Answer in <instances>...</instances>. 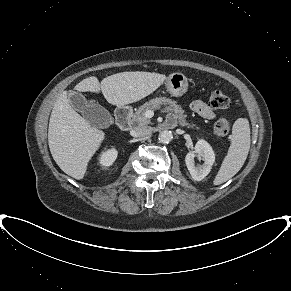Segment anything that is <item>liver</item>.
Returning <instances> with one entry per match:
<instances>
[{
    "instance_id": "liver-1",
    "label": "liver",
    "mask_w": 291,
    "mask_h": 291,
    "mask_svg": "<svg viewBox=\"0 0 291 291\" xmlns=\"http://www.w3.org/2000/svg\"><path fill=\"white\" fill-rule=\"evenodd\" d=\"M167 77L159 73L135 71L121 72L104 78L94 76L75 86L80 92H102L112 105L124 106L137 102L158 89ZM105 133L91 127L70 105L64 91L54 104L48 129L50 152L57 165L67 175L80 180L88 162L99 149Z\"/></svg>"
}]
</instances>
